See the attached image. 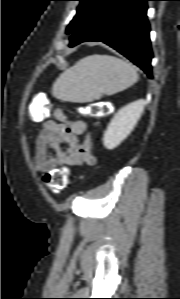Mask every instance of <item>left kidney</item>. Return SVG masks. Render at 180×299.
Wrapping results in <instances>:
<instances>
[{
    "label": "left kidney",
    "instance_id": "obj_1",
    "mask_svg": "<svg viewBox=\"0 0 180 299\" xmlns=\"http://www.w3.org/2000/svg\"><path fill=\"white\" fill-rule=\"evenodd\" d=\"M144 111V101L138 100L121 108L109 123L103 136L104 146L116 148L133 131Z\"/></svg>",
    "mask_w": 180,
    "mask_h": 299
}]
</instances>
